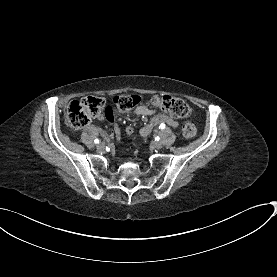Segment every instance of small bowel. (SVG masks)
<instances>
[{
	"mask_svg": "<svg viewBox=\"0 0 277 277\" xmlns=\"http://www.w3.org/2000/svg\"><path fill=\"white\" fill-rule=\"evenodd\" d=\"M133 115L152 116V118L150 119V122L141 131L143 136L149 135L152 128L159 123H165L174 129H176L178 126V123L173 118H171L165 114H156V111L154 109H152L146 105H143V104L137 105L133 109V111L130 114H128L127 116L129 117V116H133ZM130 131H131V129L128 128V132H130ZM114 132L117 137L120 136V130L118 128H115Z\"/></svg>",
	"mask_w": 277,
	"mask_h": 277,
	"instance_id": "1",
	"label": "small bowel"
}]
</instances>
